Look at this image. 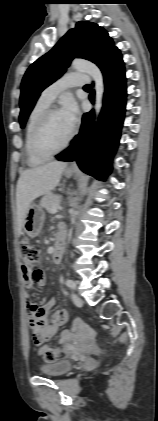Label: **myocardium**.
Instances as JSON below:
<instances>
[{"label": "myocardium", "instance_id": "obj_1", "mask_svg": "<svg viewBox=\"0 0 158 421\" xmlns=\"http://www.w3.org/2000/svg\"><path fill=\"white\" fill-rule=\"evenodd\" d=\"M60 110L58 108L55 107H49L47 108L42 115L40 116L39 120L37 121L34 129H33V133H32V147L34 152L36 153V155H38L41 158L44 159H49L52 158L53 156L59 154L60 152H62L64 149H66L68 147V145L70 144V142L72 141L75 131L74 129L71 130L69 136L67 137V139L65 140V142L58 148L54 149V150H47L43 147L42 145V134L44 131V128L50 118V116L56 112H59Z\"/></svg>", "mask_w": 158, "mask_h": 421}]
</instances>
